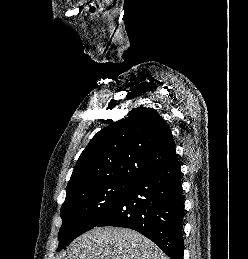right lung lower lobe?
<instances>
[{
    "instance_id": "98d812e1",
    "label": "right lung lower lobe",
    "mask_w": 248,
    "mask_h": 259,
    "mask_svg": "<svg viewBox=\"0 0 248 259\" xmlns=\"http://www.w3.org/2000/svg\"><path fill=\"white\" fill-rule=\"evenodd\" d=\"M183 216L179 161L150 170L134 181L97 224L136 230L171 259H183Z\"/></svg>"
}]
</instances>
